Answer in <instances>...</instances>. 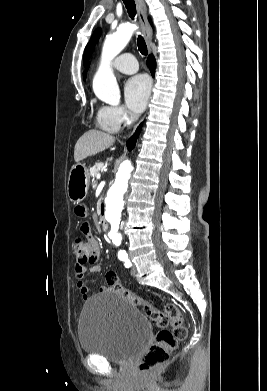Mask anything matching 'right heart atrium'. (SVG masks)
<instances>
[{"instance_id":"1","label":"right heart atrium","mask_w":267,"mask_h":391,"mask_svg":"<svg viewBox=\"0 0 267 391\" xmlns=\"http://www.w3.org/2000/svg\"><path fill=\"white\" fill-rule=\"evenodd\" d=\"M98 117L117 129L132 119V116L126 108L113 105L102 106L98 111Z\"/></svg>"}]
</instances>
